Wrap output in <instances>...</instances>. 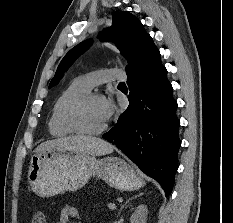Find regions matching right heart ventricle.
<instances>
[{"instance_id":"1","label":"right heart ventricle","mask_w":233,"mask_h":223,"mask_svg":"<svg viewBox=\"0 0 233 223\" xmlns=\"http://www.w3.org/2000/svg\"><path fill=\"white\" fill-rule=\"evenodd\" d=\"M89 92L75 80L70 83L55 100L48 120V130L55 138L72 136L75 133L67 124V114L71 106Z\"/></svg>"}]
</instances>
